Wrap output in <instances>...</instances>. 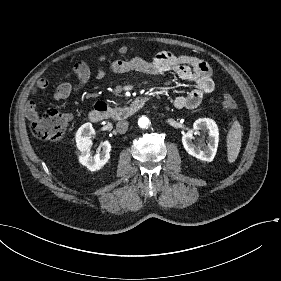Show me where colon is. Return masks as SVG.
<instances>
[{
	"label": "colon",
	"instance_id": "colon-1",
	"mask_svg": "<svg viewBox=\"0 0 281 281\" xmlns=\"http://www.w3.org/2000/svg\"><path fill=\"white\" fill-rule=\"evenodd\" d=\"M121 54H127V50L122 49ZM119 61V59L113 56H103L97 59V63L103 66H109ZM221 103L225 108L236 107L234 98L227 93L222 94ZM65 126L66 118L61 112L60 107L53 106L45 114L40 115L32 122L31 130L37 139L45 142H53L63 136Z\"/></svg>",
	"mask_w": 281,
	"mask_h": 281
}]
</instances>
